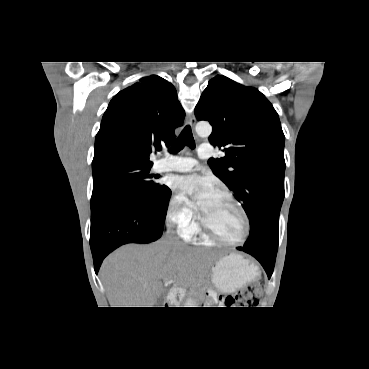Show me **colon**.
I'll return each mask as SVG.
<instances>
[{"mask_svg":"<svg viewBox=\"0 0 369 369\" xmlns=\"http://www.w3.org/2000/svg\"><path fill=\"white\" fill-rule=\"evenodd\" d=\"M263 290V283L259 282L251 285L235 296L217 297L212 294V300L218 301L225 307H255L259 303L260 295Z\"/></svg>","mask_w":369,"mask_h":369,"instance_id":"1","label":"colon"}]
</instances>
